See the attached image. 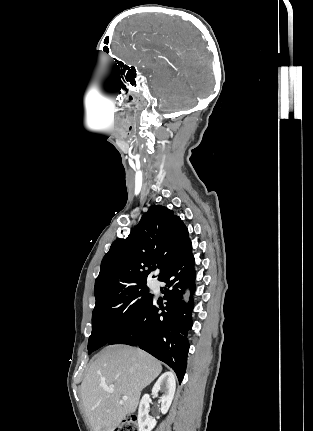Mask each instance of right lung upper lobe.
Returning a JSON list of instances; mask_svg holds the SVG:
<instances>
[{"mask_svg": "<svg viewBox=\"0 0 313 431\" xmlns=\"http://www.w3.org/2000/svg\"><path fill=\"white\" fill-rule=\"evenodd\" d=\"M188 230L180 217L161 205L146 212L126 239L115 240L101 262L95 281L96 302L125 289L146 285L150 271L160 268L162 279L180 258Z\"/></svg>", "mask_w": 313, "mask_h": 431, "instance_id": "obj_1", "label": "right lung upper lobe"}]
</instances>
